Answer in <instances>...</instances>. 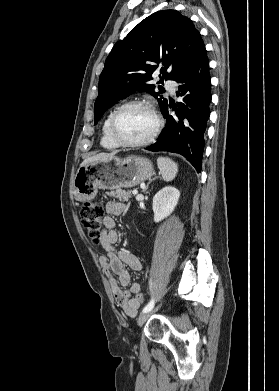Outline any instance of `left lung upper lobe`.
I'll return each mask as SVG.
<instances>
[{
  "label": "left lung upper lobe",
  "mask_w": 279,
  "mask_h": 391,
  "mask_svg": "<svg viewBox=\"0 0 279 391\" xmlns=\"http://www.w3.org/2000/svg\"><path fill=\"white\" fill-rule=\"evenodd\" d=\"M203 47L193 22L179 12L158 11L142 20L106 59L94 104L95 124L107 109L136 91L154 96L162 112L168 101L160 96L161 86L151 82L152 74L159 73L157 84L177 81Z\"/></svg>",
  "instance_id": "5c2ea615"
}]
</instances>
